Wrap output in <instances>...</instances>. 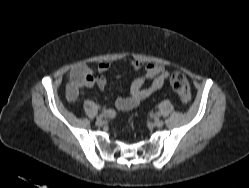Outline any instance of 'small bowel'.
<instances>
[{
    "label": "small bowel",
    "mask_w": 249,
    "mask_h": 188,
    "mask_svg": "<svg viewBox=\"0 0 249 188\" xmlns=\"http://www.w3.org/2000/svg\"><path fill=\"white\" fill-rule=\"evenodd\" d=\"M131 66L134 70H143V75L135 77L130 85V94L127 97L118 98L115 101V107L121 111H129L140 105V103L151 94L163 88L165 81L169 78L170 72L165 66L156 63H143L141 61H133ZM110 68L109 62H101L98 64L97 71L100 75L94 77L91 70L86 65L76 66L71 70V82L69 85V99L76 98L79 89L98 87L104 89L107 85V79L103 75ZM76 72L80 74V78L76 77ZM119 77V75L117 76ZM151 80L150 84L147 81ZM105 113L109 117L115 115L114 110L107 109Z\"/></svg>",
    "instance_id": "c3829d8e"
}]
</instances>
